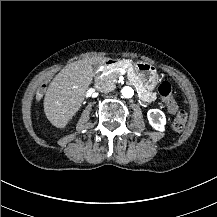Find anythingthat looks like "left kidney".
<instances>
[{"label": "left kidney", "instance_id": "left-kidney-1", "mask_svg": "<svg viewBox=\"0 0 217 217\" xmlns=\"http://www.w3.org/2000/svg\"><path fill=\"white\" fill-rule=\"evenodd\" d=\"M147 119L149 125L156 131H159L161 133L165 132L167 120L165 117V114L160 109H150L147 111Z\"/></svg>", "mask_w": 217, "mask_h": 217}]
</instances>
